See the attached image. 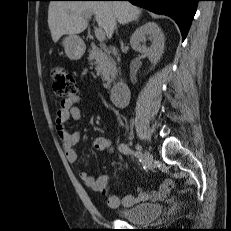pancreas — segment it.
<instances>
[{
    "mask_svg": "<svg viewBox=\"0 0 231 231\" xmlns=\"http://www.w3.org/2000/svg\"><path fill=\"white\" fill-rule=\"evenodd\" d=\"M88 59L94 61L97 75H101L104 87L109 88L116 71L115 61L107 53L96 47L90 50Z\"/></svg>",
    "mask_w": 231,
    "mask_h": 231,
    "instance_id": "obj_1",
    "label": "pancreas"
}]
</instances>
